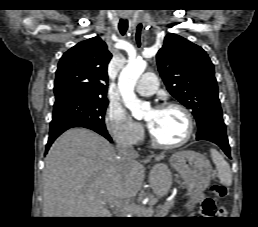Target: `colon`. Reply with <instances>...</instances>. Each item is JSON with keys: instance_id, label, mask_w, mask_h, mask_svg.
I'll list each match as a JSON object with an SVG mask.
<instances>
[{"instance_id": "5ec220e1", "label": "colon", "mask_w": 258, "mask_h": 227, "mask_svg": "<svg viewBox=\"0 0 258 227\" xmlns=\"http://www.w3.org/2000/svg\"><path fill=\"white\" fill-rule=\"evenodd\" d=\"M212 193L217 197H225L227 195V188L226 186L215 183L211 186Z\"/></svg>"}]
</instances>
